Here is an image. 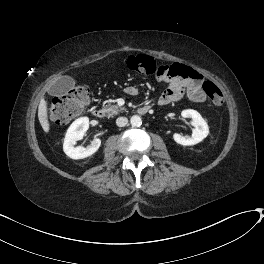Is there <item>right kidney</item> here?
<instances>
[{
    "mask_svg": "<svg viewBox=\"0 0 264 264\" xmlns=\"http://www.w3.org/2000/svg\"><path fill=\"white\" fill-rule=\"evenodd\" d=\"M89 128V118L81 117L76 119L68 128L64 143L63 150L67 156L72 159H83L94 154L101 145V140L95 138L91 141L90 145L87 147L74 145L78 140H81Z\"/></svg>",
    "mask_w": 264,
    "mask_h": 264,
    "instance_id": "ca27d5eb",
    "label": "right kidney"
}]
</instances>
